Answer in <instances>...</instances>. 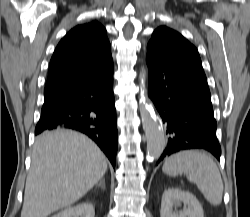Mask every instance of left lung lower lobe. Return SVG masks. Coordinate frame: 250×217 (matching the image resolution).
I'll list each match as a JSON object with an SVG mask.
<instances>
[{"instance_id":"obj_1","label":"left lung lower lobe","mask_w":250,"mask_h":217,"mask_svg":"<svg viewBox=\"0 0 250 217\" xmlns=\"http://www.w3.org/2000/svg\"><path fill=\"white\" fill-rule=\"evenodd\" d=\"M148 95L159 111L169 135L157 164L181 150L205 149L218 160L221 147L216 137L211 95L203 68L165 60L147 49Z\"/></svg>"}]
</instances>
